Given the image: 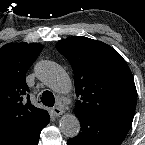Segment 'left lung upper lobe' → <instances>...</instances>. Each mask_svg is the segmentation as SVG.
Here are the masks:
<instances>
[{"label": "left lung upper lobe", "instance_id": "5c2ea615", "mask_svg": "<svg viewBox=\"0 0 145 145\" xmlns=\"http://www.w3.org/2000/svg\"><path fill=\"white\" fill-rule=\"evenodd\" d=\"M57 50L74 72V113L91 116L134 117L137 91L132 73L122 56L109 45L83 36L57 42Z\"/></svg>", "mask_w": 145, "mask_h": 145}]
</instances>
